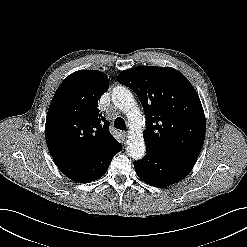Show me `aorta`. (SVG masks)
I'll list each match as a JSON object with an SVG mask.
<instances>
[{"mask_svg":"<svg viewBox=\"0 0 247 247\" xmlns=\"http://www.w3.org/2000/svg\"><path fill=\"white\" fill-rule=\"evenodd\" d=\"M112 102L122 112L128 115L130 134L127 140V152L133 159L144 157L146 146L143 137V117L137 109L132 93L124 86L112 90Z\"/></svg>","mask_w":247,"mask_h":247,"instance_id":"aorta-1","label":"aorta"}]
</instances>
